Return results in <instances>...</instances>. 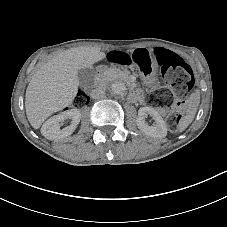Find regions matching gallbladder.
Returning a JSON list of instances; mask_svg holds the SVG:
<instances>
[{"label":"gallbladder","mask_w":227,"mask_h":227,"mask_svg":"<svg viewBox=\"0 0 227 227\" xmlns=\"http://www.w3.org/2000/svg\"><path fill=\"white\" fill-rule=\"evenodd\" d=\"M95 73L96 72L93 67L79 70L78 78L81 87H91L94 83Z\"/></svg>","instance_id":"gallbladder-1"}]
</instances>
